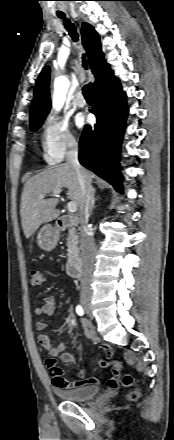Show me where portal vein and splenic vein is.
<instances>
[{"label": "portal vein and splenic vein", "mask_w": 174, "mask_h": 440, "mask_svg": "<svg viewBox=\"0 0 174 440\" xmlns=\"http://www.w3.org/2000/svg\"><path fill=\"white\" fill-rule=\"evenodd\" d=\"M60 193H61V190H60V189L54 190V191L52 192V196H58ZM40 198L43 199V198H45V196H44V195H41ZM67 209H68V211H69L70 213H75V212L77 211V204H76L75 202H73V201H70V202L67 204Z\"/></svg>", "instance_id": "obj_1"}]
</instances>
